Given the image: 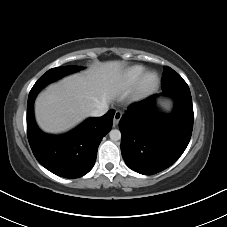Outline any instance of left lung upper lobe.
<instances>
[{
  "label": "left lung upper lobe",
  "instance_id": "left-lung-upper-lobe-1",
  "mask_svg": "<svg viewBox=\"0 0 227 227\" xmlns=\"http://www.w3.org/2000/svg\"><path fill=\"white\" fill-rule=\"evenodd\" d=\"M162 90L166 92L190 91L187 83L182 79V77L168 66H164Z\"/></svg>",
  "mask_w": 227,
  "mask_h": 227
}]
</instances>
